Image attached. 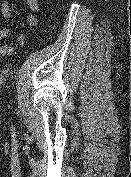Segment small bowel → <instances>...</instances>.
I'll list each match as a JSON object with an SVG mask.
<instances>
[{"label":"small bowel","mask_w":131,"mask_h":177,"mask_svg":"<svg viewBox=\"0 0 131 177\" xmlns=\"http://www.w3.org/2000/svg\"><path fill=\"white\" fill-rule=\"evenodd\" d=\"M26 3L31 10V13L26 15L25 22L29 26H35L38 23L37 13L39 11V3L38 0H26ZM1 15L4 18H10L11 16V9L8 0H1L0 4ZM13 35L11 29L7 27L0 28V41L6 39ZM14 54V49L7 45L3 44L0 46V57H9Z\"/></svg>","instance_id":"obj_1"}]
</instances>
